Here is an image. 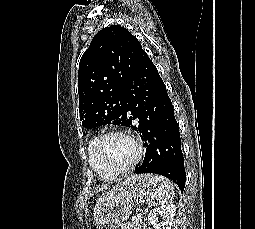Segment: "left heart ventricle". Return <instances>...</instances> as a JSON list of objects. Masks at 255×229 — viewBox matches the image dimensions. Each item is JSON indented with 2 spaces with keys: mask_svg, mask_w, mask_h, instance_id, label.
I'll list each match as a JSON object with an SVG mask.
<instances>
[{
  "mask_svg": "<svg viewBox=\"0 0 255 229\" xmlns=\"http://www.w3.org/2000/svg\"><path fill=\"white\" fill-rule=\"evenodd\" d=\"M100 149L104 160L115 167L129 164L136 154L133 142L123 136L108 137Z\"/></svg>",
  "mask_w": 255,
  "mask_h": 229,
  "instance_id": "b2bd125f",
  "label": "left heart ventricle"
}]
</instances>
